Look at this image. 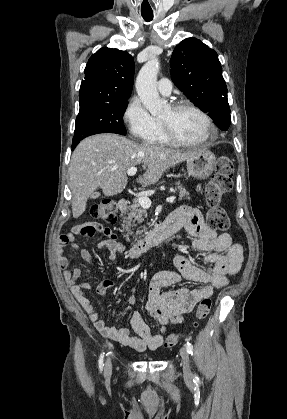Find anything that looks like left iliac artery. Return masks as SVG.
Wrapping results in <instances>:
<instances>
[{
	"instance_id": "left-iliac-artery-1",
	"label": "left iliac artery",
	"mask_w": 287,
	"mask_h": 419,
	"mask_svg": "<svg viewBox=\"0 0 287 419\" xmlns=\"http://www.w3.org/2000/svg\"><path fill=\"white\" fill-rule=\"evenodd\" d=\"M186 349H187V352L189 353V354H193V346H192V344L190 343V342H187L186 343ZM194 380H199V378H198V376H194Z\"/></svg>"
}]
</instances>
